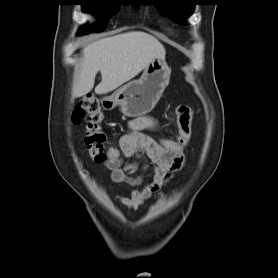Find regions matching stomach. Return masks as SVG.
<instances>
[{
    "label": "stomach",
    "mask_w": 278,
    "mask_h": 278,
    "mask_svg": "<svg viewBox=\"0 0 278 278\" xmlns=\"http://www.w3.org/2000/svg\"><path fill=\"white\" fill-rule=\"evenodd\" d=\"M171 69L165 58H156L144 69L140 79L131 81L105 97L102 104L107 109L120 106L128 117L149 113L157 104L170 81Z\"/></svg>",
    "instance_id": "0dacf381"
}]
</instances>
